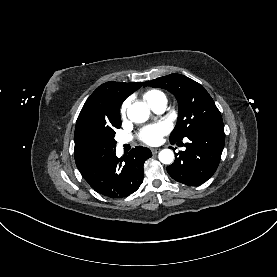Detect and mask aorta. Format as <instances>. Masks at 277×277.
Listing matches in <instances>:
<instances>
[{"instance_id":"762f6f07","label":"aorta","mask_w":277,"mask_h":277,"mask_svg":"<svg viewBox=\"0 0 277 277\" xmlns=\"http://www.w3.org/2000/svg\"><path fill=\"white\" fill-rule=\"evenodd\" d=\"M150 115L148 106L142 102H135L127 108L128 118L136 123L145 122ZM159 160L163 164H171L174 161V153L170 149H163L159 153Z\"/></svg>"}]
</instances>
